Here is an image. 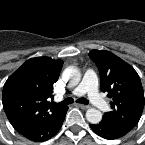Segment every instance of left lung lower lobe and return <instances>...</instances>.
Listing matches in <instances>:
<instances>
[{"instance_id":"obj_1","label":"left lung lower lobe","mask_w":145,"mask_h":145,"mask_svg":"<svg viewBox=\"0 0 145 145\" xmlns=\"http://www.w3.org/2000/svg\"><path fill=\"white\" fill-rule=\"evenodd\" d=\"M90 127L97 135L108 140L117 139L125 135V133L113 130L101 123L91 124Z\"/></svg>"}]
</instances>
